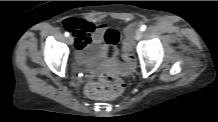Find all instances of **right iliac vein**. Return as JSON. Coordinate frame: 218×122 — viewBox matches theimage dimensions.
I'll list each match as a JSON object with an SVG mask.
<instances>
[{"instance_id": "obj_1", "label": "right iliac vein", "mask_w": 218, "mask_h": 122, "mask_svg": "<svg viewBox=\"0 0 218 122\" xmlns=\"http://www.w3.org/2000/svg\"><path fill=\"white\" fill-rule=\"evenodd\" d=\"M67 41H68V43H69L70 45H72L73 42H74V38H73L72 36H69L68 39H67Z\"/></svg>"}]
</instances>
